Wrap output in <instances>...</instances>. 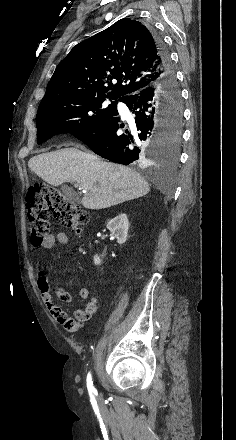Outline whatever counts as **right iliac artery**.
Here are the masks:
<instances>
[{"instance_id":"obj_1","label":"right iliac artery","mask_w":236,"mask_h":440,"mask_svg":"<svg viewBox=\"0 0 236 440\" xmlns=\"http://www.w3.org/2000/svg\"><path fill=\"white\" fill-rule=\"evenodd\" d=\"M87 389L90 393L96 392V389L93 386L92 377H91L90 373H88V375H87Z\"/></svg>"}]
</instances>
